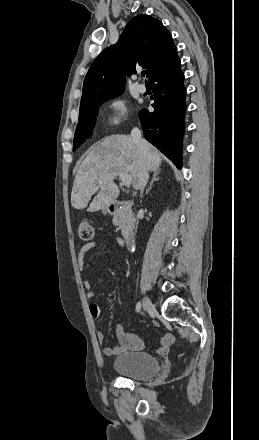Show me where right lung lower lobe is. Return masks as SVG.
<instances>
[{"mask_svg": "<svg viewBox=\"0 0 259 440\" xmlns=\"http://www.w3.org/2000/svg\"><path fill=\"white\" fill-rule=\"evenodd\" d=\"M183 80L180 60L175 55L149 79L153 90L151 99L154 100V112L143 109L139 113L144 137L179 169L186 111Z\"/></svg>", "mask_w": 259, "mask_h": 440, "instance_id": "1", "label": "right lung lower lobe"}]
</instances>
